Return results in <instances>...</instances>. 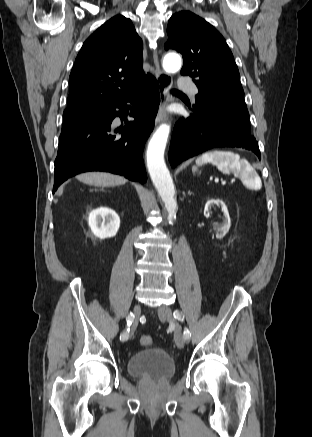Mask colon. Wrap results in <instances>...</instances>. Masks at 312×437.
<instances>
[{
    "label": "colon",
    "instance_id": "colon-1",
    "mask_svg": "<svg viewBox=\"0 0 312 437\" xmlns=\"http://www.w3.org/2000/svg\"><path fill=\"white\" fill-rule=\"evenodd\" d=\"M140 344L144 347H150L153 344V338L150 335H143L140 338Z\"/></svg>",
    "mask_w": 312,
    "mask_h": 437
}]
</instances>
